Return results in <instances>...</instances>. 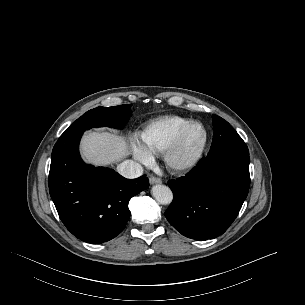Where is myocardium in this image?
Segmentation results:
<instances>
[{"mask_svg": "<svg viewBox=\"0 0 305 305\" xmlns=\"http://www.w3.org/2000/svg\"><path fill=\"white\" fill-rule=\"evenodd\" d=\"M196 126H199L204 131V139L200 148L189 157H182L181 151L185 142V139L190 132V130ZM209 131L207 127L199 122L194 121L189 123L184 127L178 134L174 142L169 146V148L164 152V161L168 170L173 173H186L194 169L203 159L208 144H209Z\"/></svg>", "mask_w": 305, "mask_h": 305, "instance_id": "f54148a6", "label": "myocardium"}]
</instances>
